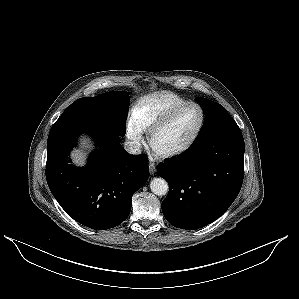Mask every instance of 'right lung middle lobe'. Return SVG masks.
Instances as JSON below:
<instances>
[{"mask_svg": "<svg viewBox=\"0 0 299 299\" xmlns=\"http://www.w3.org/2000/svg\"><path fill=\"white\" fill-rule=\"evenodd\" d=\"M129 92H106L72 103L58 120L76 121L105 127L124 136L130 103Z\"/></svg>", "mask_w": 299, "mask_h": 299, "instance_id": "right-lung-middle-lobe-1", "label": "right lung middle lobe"}]
</instances>
